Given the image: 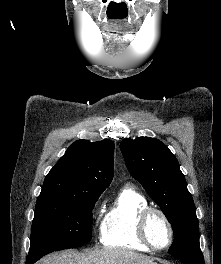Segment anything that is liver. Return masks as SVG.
<instances>
[{"instance_id":"liver-1","label":"liver","mask_w":221,"mask_h":264,"mask_svg":"<svg viewBox=\"0 0 221 264\" xmlns=\"http://www.w3.org/2000/svg\"><path fill=\"white\" fill-rule=\"evenodd\" d=\"M153 262L146 255L119 248H104L101 250L79 253L67 250L43 258L36 264H148Z\"/></svg>"}]
</instances>
